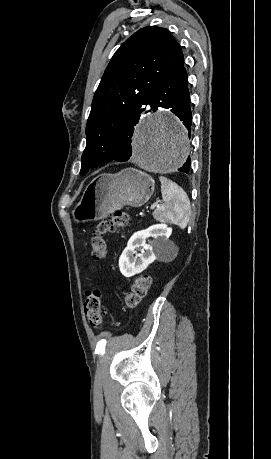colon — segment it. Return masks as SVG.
<instances>
[{"label": "colon", "mask_w": 271, "mask_h": 459, "mask_svg": "<svg viewBox=\"0 0 271 459\" xmlns=\"http://www.w3.org/2000/svg\"><path fill=\"white\" fill-rule=\"evenodd\" d=\"M130 217L126 212L117 211L97 222L91 237V256L94 260L104 258L107 250L105 240L106 234L115 231L117 228L126 226ZM151 284L149 276L142 275L135 279L130 290L124 291V302L127 307L135 308L141 299L146 295ZM85 314L93 327H100L103 321V309L101 306V292L94 289L86 297Z\"/></svg>", "instance_id": "colon-1"}]
</instances>
